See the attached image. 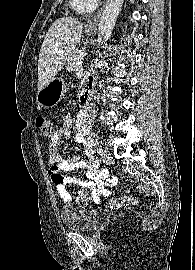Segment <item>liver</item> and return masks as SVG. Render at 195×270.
Here are the masks:
<instances>
[{
    "label": "liver",
    "instance_id": "obj_1",
    "mask_svg": "<svg viewBox=\"0 0 195 270\" xmlns=\"http://www.w3.org/2000/svg\"><path fill=\"white\" fill-rule=\"evenodd\" d=\"M83 23L72 17L57 19L49 28L38 60V91L55 78L81 40Z\"/></svg>",
    "mask_w": 195,
    "mask_h": 270
}]
</instances>
